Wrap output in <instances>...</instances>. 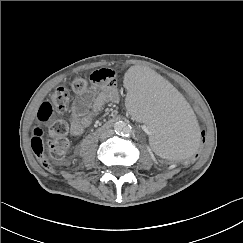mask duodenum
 I'll return each instance as SVG.
<instances>
[{
	"mask_svg": "<svg viewBox=\"0 0 243 243\" xmlns=\"http://www.w3.org/2000/svg\"><path fill=\"white\" fill-rule=\"evenodd\" d=\"M115 121L116 119L109 120L105 122L103 125H101L100 127L93 130L90 134H88L81 142L79 147L80 150L86 151L103 132L112 128Z\"/></svg>",
	"mask_w": 243,
	"mask_h": 243,
	"instance_id": "1",
	"label": "duodenum"
}]
</instances>
